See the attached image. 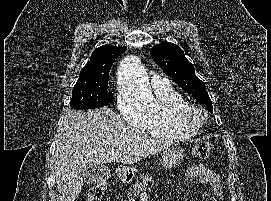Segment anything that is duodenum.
Here are the masks:
<instances>
[{"label":"duodenum","instance_id":"obj_1","mask_svg":"<svg viewBox=\"0 0 271 201\" xmlns=\"http://www.w3.org/2000/svg\"><path fill=\"white\" fill-rule=\"evenodd\" d=\"M118 177H119V180L122 182L126 180V177L122 173H119Z\"/></svg>","mask_w":271,"mask_h":201}]
</instances>
